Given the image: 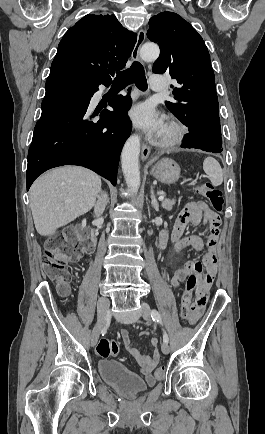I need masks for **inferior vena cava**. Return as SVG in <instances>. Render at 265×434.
Instances as JSON below:
<instances>
[{
  "label": "inferior vena cava",
  "mask_w": 265,
  "mask_h": 434,
  "mask_svg": "<svg viewBox=\"0 0 265 434\" xmlns=\"http://www.w3.org/2000/svg\"><path fill=\"white\" fill-rule=\"evenodd\" d=\"M106 204H107V196H105V194L104 196H98V202L97 204H95V208H94L96 218H100V216H102Z\"/></svg>",
  "instance_id": "obj_1"
}]
</instances>
